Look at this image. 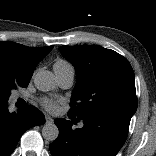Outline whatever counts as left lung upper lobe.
Returning a JSON list of instances; mask_svg holds the SVG:
<instances>
[{"instance_id": "obj_1", "label": "left lung upper lobe", "mask_w": 156, "mask_h": 156, "mask_svg": "<svg viewBox=\"0 0 156 156\" xmlns=\"http://www.w3.org/2000/svg\"><path fill=\"white\" fill-rule=\"evenodd\" d=\"M59 50L77 73L69 116L84 119L114 115L131 120L137 97L134 72L126 58L97 45H64Z\"/></svg>"}]
</instances>
